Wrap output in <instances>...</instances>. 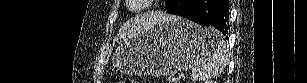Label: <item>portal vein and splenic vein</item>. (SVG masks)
Returning a JSON list of instances; mask_svg holds the SVG:
<instances>
[{
	"label": "portal vein and splenic vein",
	"instance_id": "18ae733b",
	"mask_svg": "<svg viewBox=\"0 0 307 83\" xmlns=\"http://www.w3.org/2000/svg\"><path fill=\"white\" fill-rule=\"evenodd\" d=\"M179 78H180V79L184 78V74H182V73L179 74Z\"/></svg>",
	"mask_w": 307,
	"mask_h": 83
}]
</instances>
